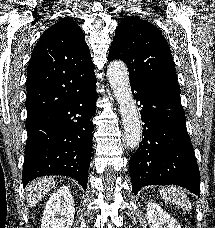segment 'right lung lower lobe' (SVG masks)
<instances>
[{
	"instance_id": "right-lung-lower-lobe-1",
	"label": "right lung lower lobe",
	"mask_w": 215,
	"mask_h": 228,
	"mask_svg": "<svg viewBox=\"0 0 215 228\" xmlns=\"http://www.w3.org/2000/svg\"><path fill=\"white\" fill-rule=\"evenodd\" d=\"M68 93L63 103L26 122L23 186L40 176L64 175L87 188L97 99L95 74L71 85Z\"/></svg>"
}]
</instances>
